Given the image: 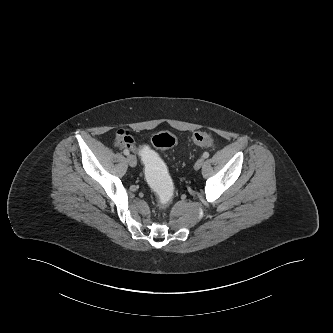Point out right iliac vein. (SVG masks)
<instances>
[{"label":"right iliac vein","mask_w":333,"mask_h":333,"mask_svg":"<svg viewBox=\"0 0 333 333\" xmlns=\"http://www.w3.org/2000/svg\"><path fill=\"white\" fill-rule=\"evenodd\" d=\"M127 162L131 167H135L137 165V159L134 155H129L127 157Z\"/></svg>","instance_id":"63e3f726"}]
</instances>
